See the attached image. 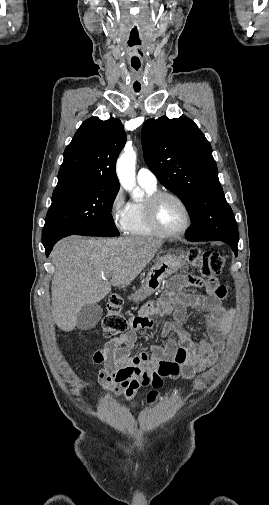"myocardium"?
Returning a JSON list of instances; mask_svg holds the SVG:
<instances>
[{
	"label": "myocardium",
	"mask_w": 269,
	"mask_h": 505,
	"mask_svg": "<svg viewBox=\"0 0 269 505\" xmlns=\"http://www.w3.org/2000/svg\"><path fill=\"white\" fill-rule=\"evenodd\" d=\"M164 198H172L176 200L185 210L187 221L185 226L178 231H167L161 227L157 219V207L160 201ZM146 219L151 229L159 236L163 237H179L184 235L192 226L193 215L187 202L178 194L170 191H157L148 196L144 201Z\"/></svg>",
	"instance_id": "f54148a6"
}]
</instances>
